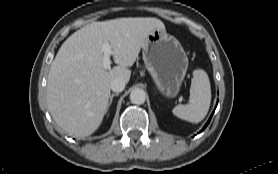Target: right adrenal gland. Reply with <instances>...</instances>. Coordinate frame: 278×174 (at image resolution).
I'll list each match as a JSON object with an SVG mask.
<instances>
[{
    "label": "right adrenal gland",
    "instance_id": "obj_1",
    "mask_svg": "<svg viewBox=\"0 0 278 174\" xmlns=\"http://www.w3.org/2000/svg\"><path fill=\"white\" fill-rule=\"evenodd\" d=\"M118 95H119V93H114V94H112V95L110 96V99H109V103H108V105H107L106 112L108 111L109 107L111 106L113 98H114L115 96H118Z\"/></svg>",
    "mask_w": 278,
    "mask_h": 174
}]
</instances>
